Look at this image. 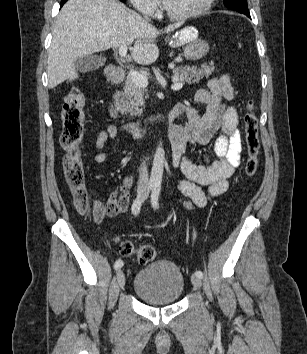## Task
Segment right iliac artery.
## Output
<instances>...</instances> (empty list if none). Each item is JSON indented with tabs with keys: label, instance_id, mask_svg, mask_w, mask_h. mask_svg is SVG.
<instances>
[{
	"label": "right iliac artery",
	"instance_id": "obj_1",
	"mask_svg": "<svg viewBox=\"0 0 307 354\" xmlns=\"http://www.w3.org/2000/svg\"><path fill=\"white\" fill-rule=\"evenodd\" d=\"M153 188V185H149L147 187V191L151 190ZM143 199H144V196H139L138 198H136L134 201H133V204H132V213L137 216L140 212V208H141V205H142V202H143ZM124 265V262L122 260H117L115 263H114V269L115 270H118L120 269L122 266Z\"/></svg>",
	"mask_w": 307,
	"mask_h": 354
}]
</instances>
